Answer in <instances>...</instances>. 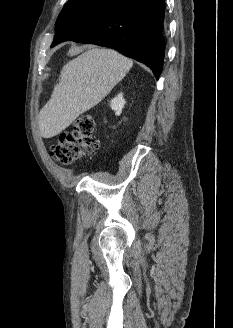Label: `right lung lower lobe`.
Instances as JSON below:
<instances>
[{
	"label": "right lung lower lobe",
	"instance_id": "98d812e1",
	"mask_svg": "<svg viewBox=\"0 0 233 328\" xmlns=\"http://www.w3.org/2000/svg\"><path fill=\"white\" fill-rule=\"evenodd\" d=\"M164 0H93L56 22L52 46L72 40L113 48L147 65L158 80L165 55Z\"/></svg>",
	"mask_w": 233,
	"mask_h": 328
}]
</instances>
